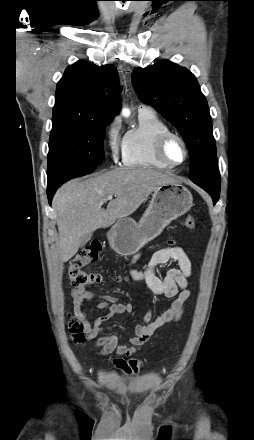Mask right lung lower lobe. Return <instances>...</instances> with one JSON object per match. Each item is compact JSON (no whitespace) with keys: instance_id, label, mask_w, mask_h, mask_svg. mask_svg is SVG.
Wrapping results in <instances>:
<instances>
[{"instance_id":"right-lung-lower-lobe-1","label":"right lung lower lobe","mask_w":254,"mask_h":440,"mask_svg":"<svg viewBox=\"0 0 254 440\" xmlns=\"http://www.w3.org/2000/svg\"><path fill=\"white\" fill-rule=\"evenodd\" d=\"M59 185H60V184H56V185H52V186H48L47 194H48V200H49V203H50V204H51L52 197H53V195H54L56 189L59 187Z\"/></svg>"}]
</instances>
